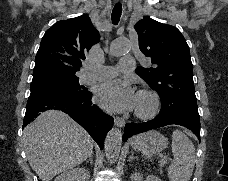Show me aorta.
Returning <instances> with one entry per match:
<instances>
[{"mask_svg":"<svg viewBox=\"0 0 228 181\" xmlns=\"http://www.w3.org/2000/svg\"><path fill=\"white\" fill-rule=\"evenodd\" d=\"M130 44L126 38H119L115 40L110 52L114 56H121L129 50ZM122 144V132L120 129H111L105 139V153L110 162H115L119 156Z\"/></svg>","mask_w":228,"mask_h":181,"instance_id":"1","label":"aorta"}]
</instances>
